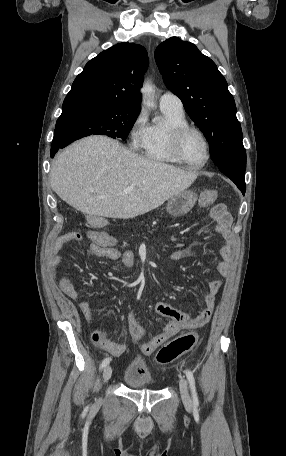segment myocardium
Returning a JSON list of instances; mask_svg holds the SVG:
<instances>
[{"instance_id": "f54148a6", "label": "myocardium", "mask_w": 286, "mask_h": 456, "mask_svg": "<svg viewBox=\"0 0 286 456\" xmlns=\"http://www.w3.org/2000/svg\"><path fill=\"white\" fill-rule=\"evenodd\" d=\"M196 132L199 134L202 139L205 142L206 146V157L201 163H191L187 161L181 154L180 151V143L183 138V136L188 133V132ZM168 143H169V149L173 157L180 163L187 165L192 168H201L204 167L210 160L211 158V144L210 141L207 137V135L198 127L190 125V124H182V125H176L170 128L169 134H168Z\"/></svg>"}]
</instances>
